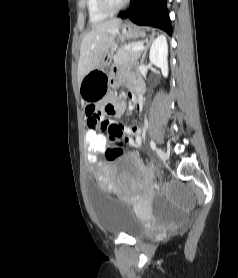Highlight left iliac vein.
<instances>
[{"instance_id": "obj_1", "label": "left iliac vein", "mask_w": 238, "mask_h": 278, "mask_svg": "<svg viewBox=\"0 0 238 278\" xmlns=\"http://www.w3.org/2000/svg\"><path fill=\"white\" fill-rule=\"evenodd\" d=\"M157 154L162 160H167L168 157H169V155L164 150H162L161 148L157 149Z\"/></svg>"}]
</instances>
